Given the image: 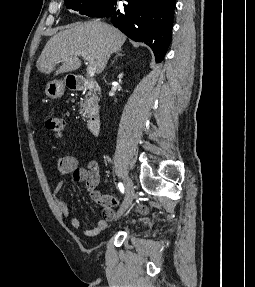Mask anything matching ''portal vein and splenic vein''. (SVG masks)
<instances>
[{
	"mask_svg": "<svg viewBox=\"0 0 255 287\" xmlns=\"http://www.w3.org/2000/svg\"><path fill=\"white\" fill-rule=\"evenodd\" d=\"M82 56L83 60H86L88 62L89 66L87 68V74H89L90 78H93L95 76V70H96V62H94V58L92 56H89L87 52H84V54H80Z\"/></svg>",
	"mask_w": 255,
	"mask_h": 287,
	"instance_id": "1",
	"label": "portal vein and splenic vein"
}]
</instances>
